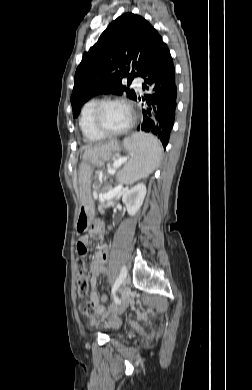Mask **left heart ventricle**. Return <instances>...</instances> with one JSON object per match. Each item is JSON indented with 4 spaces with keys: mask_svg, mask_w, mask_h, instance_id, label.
Instances as JSON below:
<instances>
[{
    "mask_svg": "<svg viewBox=\"0 0 252 390\" xmlns=\"http://www.w3.org/2000/svg\"><path fill=\"white\" fill-rule=\"evenodd\" d=\"M131 119L128 107L121 103L106 105L100 115L103 127L107 130H119L124 128Z\"/></svg>",
    "mask_w": 252,
    "mask_h": 390,
    "instance_id": "obj_1",
    "label": "left heart ventricle"
}]
</instances>
